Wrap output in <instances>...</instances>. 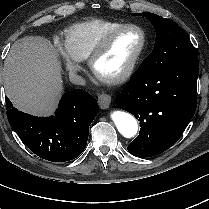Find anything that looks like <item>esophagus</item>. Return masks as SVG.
<instances>
[{"label": "esophagus", "instance_id": "obj_1", "mask_svg": "<svg viewBox=\"0 0 209 209\" xmlns=\"http://www.w3.org/2000/svg\"><path fill=\"white\" fill-rule=\"evenodd\" d=\"M98 103L102 109H107L110 106L111 103V97L110 95L106 93H102L98 97Z\"/></svg>", "mask_w": 209, "mask_h": 209}]
</instances>
